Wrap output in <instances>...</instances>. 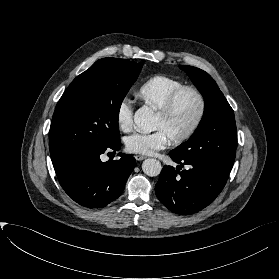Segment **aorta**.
I'll return each instance as SVG.
<instances>
[{
    "label": "aorta",
    "instance_id": "762f6f07",
    "mask_svg": "<svg viewBox=\"0 0 279 279\" xmlns=\"http://www.w3.org/2000/svg\"><path fill=\"white\" fill-rule=\"evenodd\" d=\"M134 123L139 131L149 133L155 130L156 116L151 108L142 106L135 112ZM142 170L146 175L154 177L161 173L162 166L158 160L148 158L143 161Z\"/></svg>",
    "mask_w": 279,
    "mask_h": 279
}]
</instances>
